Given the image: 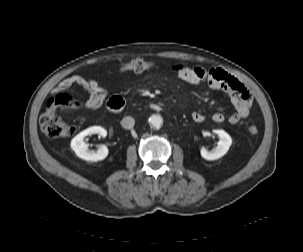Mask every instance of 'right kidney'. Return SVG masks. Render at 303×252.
I'll use <instances>...</instances> for the list:
<instances>
[{
  "instance_id": "obj_1",
  "label": "right kidney",
  "mask_w": 303,
  "mask_h": 252,
  "mask_svg": "<svg viewBox=\"0 0 303 252\" xmlns=\"http://www.w3.org/2000/svg\"><path fill=\"white\" fill-rule=\"evenodd\" d=\"M99 134L102 137L107 135V131L101 126H92L76 135L71 141V148L76 155L86 161H101L108 156V148L105 145H101L99 149L94 151L88 150V145L84 142V138L88 135Z\"/></svg>"
}]
</instances>
